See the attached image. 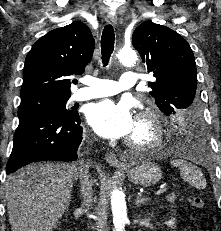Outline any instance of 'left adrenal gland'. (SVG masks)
Wrapping results in <instances>:
<instances>
[{"label":"left adrenal gland","instance_id":"left-adrenal-gland-1","mask_svg":"<svg viewBox=\"0 0 221 231\" xmlns=\"http://www.w3.org/2000/svg\"><path fill=\"white\" fill-rule=\"evenodd\" d=\"M149 201V199L144 198L141 193H137L135 205L137 207H141V205L146 204Z\"/></svg>","mask_w":221,"mask_h":231}]
</instances>
